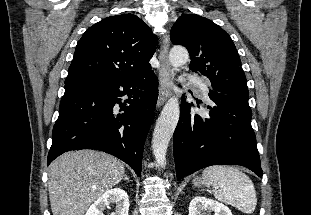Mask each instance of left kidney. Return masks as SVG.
<instances>
[{
    "label": "left kidney",
    "mask_w": 311,
    "mask_h": 215,
    "mask_svg": "<svg viewBox=\"0 0 311 215\" xmlns=\"http://www.w3.org/2000/svg\"><path fill=\"white\" fill-rule=\"evenodd\" d=\"M214 212V215H233L231 210L222 203L202 196L193 198L189 204V215H205Z\"/></svg>",
    "instance_id": "1"
}]
</instances>
